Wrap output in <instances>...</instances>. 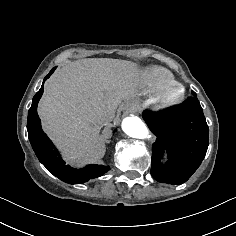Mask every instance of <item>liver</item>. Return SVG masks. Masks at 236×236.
<instances>
[{
  "label": "liver",
  "mask_w": 236,
  "mask_h": 236,
  "mask_svg": "<svg viewBox=\"0 0 236 236\" xmlns=\"http://www.w3.org/2000/svg\"><path fill=\"white\" fill-rule=\"evenodd\" d=\"M132 63L83 59L59 69L45 84L39 116L67 159L97 162L104 155L103 114L114 113L130 93Z\"/></svg>",
  "instance_id": "liver-1"
}]
</instances>
